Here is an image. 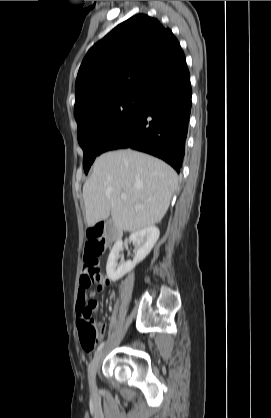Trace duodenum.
<instances>
[{"mask_svg": "<svg viewBox=\"0 0 271 418\" xmlns=\"http://www.w3.org/2000/svg\"><path fill=\"white\" fill-rule=\"evenodd\" d=\"M119 238V234L118 233H114L113 235L110 236L111 240H116Z\"/></svg>", "mask_w": 271, "mask_h": 418, "instance_id": "obj_1", "label": "duodenum"}]
</instances>
